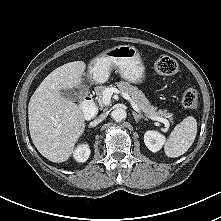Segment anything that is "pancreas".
I'll list each match as a JSON object with an SVG mask.
<instances>
[{"instance_id":"obj_1","label":"pancreas","mask_w":221,"mask_h":221,"mask_svg":"<svg viewBox=\"0 0 221 221\" xmlns=\"http://www.w3.org/2000/svg\"><path fill=\"white\" fill-rule=\"evenodd\" d=\"M117 87L121 92H125L127 93L132 100L135 102V104L138 106V108L144 112V114L149 117L152 115H156V116H164L167 118H170L172 115L170 113H167V111H156V108L152 105H150L148 99L145 97V95L143 94L142 91H140L137 87L130 85L127 82H118L115 83V86H113V84L109 85V86H97L95 88V93L97 95V101L99 103V106L104 107L106 106L103 102V92L107 89V88H114Z\"/></svg>"}]
</instances>
